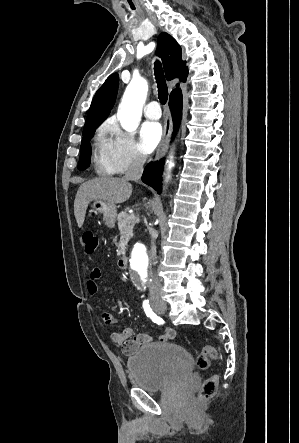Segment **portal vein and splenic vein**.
<instances>
[{
  "mask_svg": "<svg viewBox=\"0 0 299 443\" xmlns=\"http://www.w3.org/2000/svg\"><path fill=\"white\" fill-rule=\"evenodd\" d=\"M127 218H128L129 220H132V219H135L136 217H135V215L132 214V215L128 216Z\"/></svg>",
  "mask_w": 299,
  "mask_h": 443,
  "instance_id": "1",
  "label": "portal vein and splenic vein"
}]
</instances>
